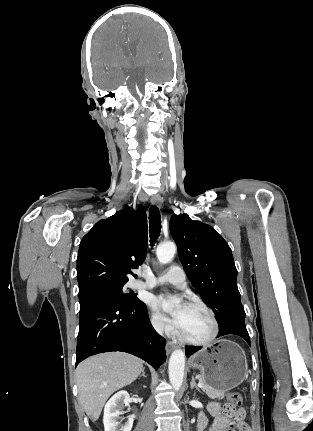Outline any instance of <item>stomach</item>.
Masks as SVG:
<instances>
[{
  "label": "stomach",
  "instance_id": "0dacf381",
  "mask_svg": "<svg viewBox=\"0 0 313 431\" xmlns=\"http://www.w3.org/2000/svg\"><path fill=\"white\" fill-rule=\"evenodd\" d=\"M189 364L200 370L203 383L220 391L239 386L248 371L244 351L230 340H219L201 349L190 358Z\"/></svg>",
  "mask_w": 313,
  "mask_h": 431
}]
</instances>
